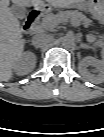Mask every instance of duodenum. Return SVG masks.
<instances>
[{
    "label": "duodenum",
    "mask_w": 104,
    "mask_h": 137,
    "mask_svg": "<svg viewBox=\"0 0 104 137\" xmlns=\"http://www.w3.org/2000/svg\"><path fill=\"white\" fill-rule=\"evenodd\" d=\"M48 11V8L45 6H42L36 10H32L27 19L25 20L24 23V29L26 32H31L34 30V25L37 21V18L40 14L46 13Z\"/></svg>",
    "instance_id": "obj_1"
}]
</instances>
